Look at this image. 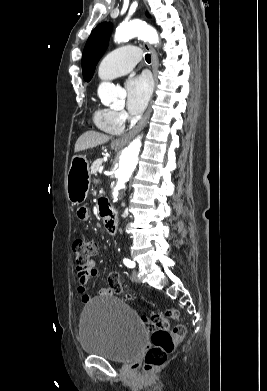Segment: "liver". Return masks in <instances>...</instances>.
<instances>
[{"label": "liver", "instance_id": "obj_1", "mask_svg": "<svg viewBox=\"0 0 267 391\" xmlns=\"http://www.w3.org/2000/svg\"><path fill=\"white\" fill-rule=\"evenodd\" d=\"M109 140H110V136L106 134L96 132V131H87L77 139L74 151L79 152L90 148H94L99 145L105 144Z\"/></svg>", "mask_w": 267, "mask_h": 391}]
</instances>
